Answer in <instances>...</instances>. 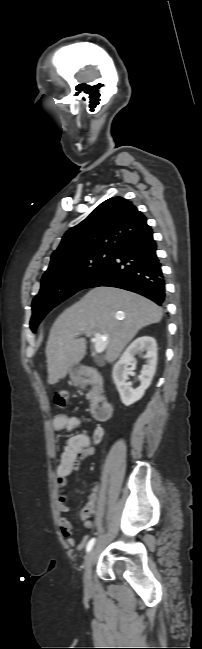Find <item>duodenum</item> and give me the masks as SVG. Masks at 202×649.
<instances>
[{
    "label": "duodenum",
    "instance_id": "duodenum-1",
    "mask_svg": "<svg viewBox=\"0 0 202 649\" xmlns=\"http://www.w3.org/2000/svg\"><path fill=\"white\" fill-rule=\"evenodd\" d=\"M80 383L94 386V396L92 400V413L94 417L101 421H106L112 414V403L103 395V378L94 368L83 366L77 374Z\"/></svg>",
    "mask_w": 202,
    "mask_h": 649
}]
</instances>
